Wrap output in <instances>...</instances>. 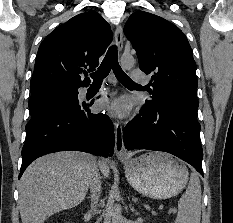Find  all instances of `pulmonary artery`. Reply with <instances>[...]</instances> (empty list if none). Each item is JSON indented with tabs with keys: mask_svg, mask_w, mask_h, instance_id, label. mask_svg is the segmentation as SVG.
Instances as JSON below:
<instances>
[{
	"mask_svg": "<svg viewBox=\"0 0 233 223\" xmlns=\"http://www.w3.org/2000/svg\"><path fill=\"white\" fill-rule=\"evenodd\" d=\"M130 79H148V74L144 70H132Z\"/></svg>",
	"mask_w": 233,
	"mask_h": 223,
	"instance_id": "obj_1",
	"label": "pulmonary artery"
}]
</instances>
